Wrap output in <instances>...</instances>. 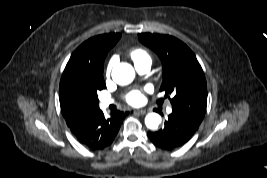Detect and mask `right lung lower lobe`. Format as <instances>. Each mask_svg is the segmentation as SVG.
I'll list each match as a JSON object with an SVG mask.
<instances>
[{
	"mask_svg": "<svg viewBox=\"0 0 267 178\" xmlns=\"http://www.w3.org/2000/svg\"><path fill=\"white\" fill-rule=\"evenodd\" d=\"M73 136L83 146L91 150L109 147L127 113L112 110L110 118H105L100 108H75L62 113Z\"/></svg>",
	"mask_w": 267,
	"mask_h": 178,
	"instance_id": "98d812e1",
	"label": "right lung lower lobe"
}]
</instances>
